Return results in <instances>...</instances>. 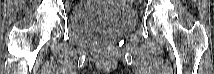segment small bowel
<instances>
[{
    "mask_svg": "<svg viewBox=\"0 0 214 74\" xmlns=\"http://www.w3.org/2000/svg\"><path fill=\"white\" fill-rule=\"evenodd\" d=\"M123 4H124V5H128V3H127V2H125V1L123 2Z\"/></svg>",
    "mask_w": 214,
    "mask_h": 74,
    "instance_id": "small-bowel-1",
    "label": "small bowel"
}]
</instances>
